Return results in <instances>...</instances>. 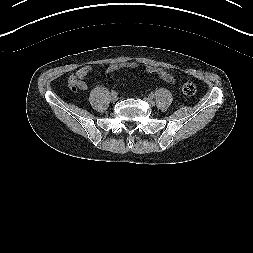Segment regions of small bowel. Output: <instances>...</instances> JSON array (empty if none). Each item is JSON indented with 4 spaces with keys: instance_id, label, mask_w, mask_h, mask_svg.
<instances>
[{
    "instance_id": "obj_1",
    "label": "small bowel",
    "mask_w": 253,
    "mask_h": 253,
    "mask_svg": "<svg viewBox=\"0 0 253 253\" xmlns=\"http://www.w3.org/2000/svg\"><path fill=\"white\" fill-rule=\"evenodd\" d=\"M127 67L130 69H135L138 67V64L136 62H128V63H114L109 65L107 71L112 72L115 70H118L120 68ZM92 68L89 65L82 66L79 68L76 73V86L79 90L85 91L87 89V83L85 81L86 76L91 72ZM145 71L150 74H156L163 80L173 83L174 82V76L171 72L162 69V68H157L153 66H145Z\"/></svg>"
}]
</instances>
